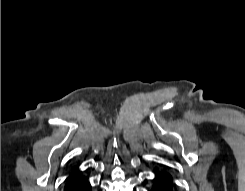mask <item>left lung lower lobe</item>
<instances>
[{
  "instance_id": "0a47b994",
  "label": "left lung lower lobe",
  "mask_w": 245,
  "mask_h": 191,
  "mask_svg": "<svg viewBox=\"0 0 245 191\" xmlns=\"http://www.w3.org/2000/svg\"><path fill=\"white\" fill-rule=\"evenodd\" d=\"M150 191H177L174 177L165 165H162V168L156 172Z\"/></svg>"
}]
</instances>
